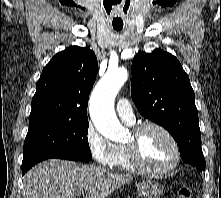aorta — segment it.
<instances>
[{
  "label": "aorta",
  "mask_w": 221,
  "mask_h": 198,
  "mask_svg": "<svg viewBox=\"0 0 221 198\" xmlns=\"http://www.w3.org/2000/svg\"><path fill=\"white\" fill-rule=\"evenodd\" d=\"M127 79V70L108 69L90 98L89 112L94 126L103 136L113 141L126 134L114 112V99Z\"/></svg>",
  "instance_id": "obj_1"
}]
</instances>
